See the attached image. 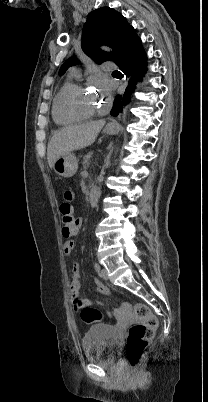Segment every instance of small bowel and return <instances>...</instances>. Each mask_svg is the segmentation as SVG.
I'll list each match as a JSON object with an SVG mask.
<instances>
[{
	"instance_id": "small-bowel-1",
	"label": "small bowel",
	"mask_w": 208,
	"mask_h": 402,
	"mask_svg": "<svg viewBox=\"0 0 208 402\" xmlns=\"http://www.w3.org/2000/svg\"><path fill=\"white\" fill-rule=\"evenodd\" d=\"M74 231L75 232H80L81 227H82V222L81 221H76L74 224ZM74 240V239H73ZM74 249V243L72 241H69L66 246L63 248V253L64 254H69L72 250ZM69 256V255H67ZM70 280H71V295L75 298L78 299V301L81 303V305H91V302L88 299H79L78 294L80 290V284H81V273L78 265L73 264L71 267V274H70ZM93 286L95 290L103 297L107 296L109 294V289L106 287L99 279H94L93 281ZM114 316L121 321V323L126 324L129 321V318L132 315V312L129 310L128 305H124L123 307L116 309L114 311Z\"/></svg>"
}]
</instances>
